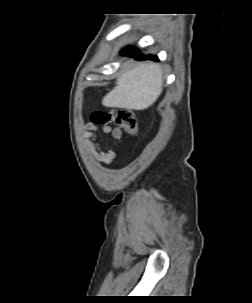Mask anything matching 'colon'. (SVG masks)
<instances>
[{"instance_id":"obj_1","label":"colon","mask_w":252,"mask_h":303,"mask_svg":"<svg viewBox=\"0 0 252 303\" xmlns=\"http://www.w3.org/2000/svg\"><path fill=\"white\" fill-rule=\"evenodd\" d=\"M91 121L96 125H116L129 135H134L139 130L135 113L128 109L98 110L92 114Z\"/></svg>"}]
</instances>
